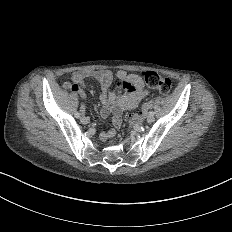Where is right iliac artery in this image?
Segmentation results:
<instances>
[{"mask_svg":"<svg viewBox=\"0 0 232 232\" xmlns=\"http://www.w3.org/2000/svg\"><path fill=\"white\" fill-rule=\"evenodd\" d=\"M75 117H76V118H79V117H80V113H79V112H76V113H75Z\"/></svg>","mask_w":232,"mask_h":232,"instance_id":"right-iliac-artery-1","label":"right iliac artery"}]
</instances>
